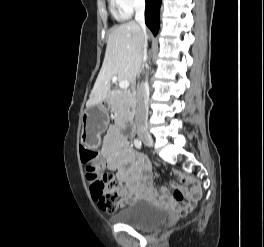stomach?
Returning <instances> with one entry per match:
<instances>
[{"instance_id": "1", "label": "stomach", "mask_w": 264, "mask_h": 247, "mask_svg": "<svg viewBox=\"0 0 264 247\" xmlns=\"http://www.w3.org/2000/svg\"><path fill=\"white\" fill-rule=\"evenodd\" d=\"M107 123V108L102 104L91 107L82 118L81 142L97 146L100 143V132Z\"/></svg>"}]
</instances>
